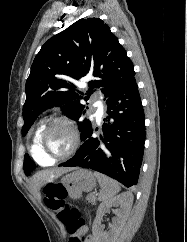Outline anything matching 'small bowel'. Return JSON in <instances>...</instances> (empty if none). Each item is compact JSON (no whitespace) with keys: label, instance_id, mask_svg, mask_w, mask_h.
Instances as JSON below:
<instances>
[{"label":"small bowel","instance_id":"1","mask_svg":"<svg viewBox=\"0 0 187 242\" xmlns=\"http://www.w3.org/2000/svg\"><path fill=\"white\" fill-rule=\"evenodd\" d=\"M88 228L87 227H83L81 230H80V233L81 234H85L87 232ZM85 242H93V240L89 237L86 239Z\"/></svg>","mask_w":187,"mask_h":242}]
</instances>
